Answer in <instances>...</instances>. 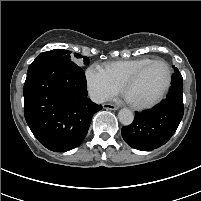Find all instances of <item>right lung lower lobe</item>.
<instances>
[{"mask_svg": "<svg viewBox=\"0 0 201 201\" xmlns=\"http://www.w3.org/2000/svg\"><path fill=\"white\" fill-rule=\"evenodd\" d=\"M82 69L73 62L34 60L24 84V115L38 141L65 152L85 138L94 113L102 109L88 99Z\"/></svg>", "mask_w": 201, "mask_h": 201, "instance_id": "obj_1", "label": "right lung lower lobe"}]
</instances>
